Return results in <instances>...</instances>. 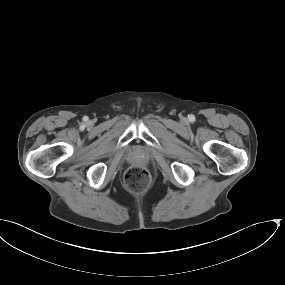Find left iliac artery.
<instances>
[{
  "label": "left iliac artery",
  "instance_id": "44dca946",
  "mask_svg": "<svg viewBox=\"0 0 285 285\" xmlns=\"http://www.w3.org/2000/svg\"><path fill=\"white\" fill-rule=\"evenodd\" d=\"M190 121H195V117L193 115L190 116L189 118Z\"/></svg>",
  "mask_w": 285,
  "mask_h": 285
}]
</instances>
